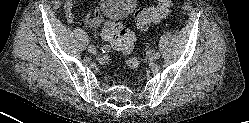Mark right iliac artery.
Wrapping results in <instances>:
<instances>
[{
  "label": "right iliac artery",
  "instance_id": "obj_1",
  "mask_svg": "<svg viewBox=\"0 0 249 123\" xmlns=\"http://www.w3.org/2000/svg\"><path fill=\"white\" fill-rule=\"evenodd\" d=\"M109 50H110V48L106 45V46H103L102 48H101V51L103 52V53H106V52H109Z\"/></svg>",
  "mask_w": 249,
  "mask_h": 123
}]
</instances>
